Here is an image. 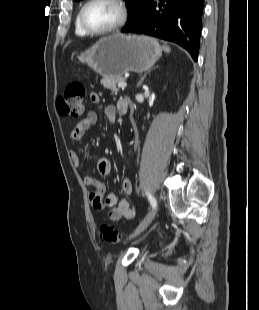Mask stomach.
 <instances>
[{
  "label": "stomach",
  "mask_w": 259,
  "mask_h": 310,
  "mask_svg": "<svg viewBox=\"0 0 259 310\" xmlns=\"http://www.w3.org/2000/svg\"><path fill=\"white\" fill-rule=\"evenodd\" d=\"M161 56L158 42L150 37L113 34L81 52L79 60L103 77L149 70Z\"/></svg>",
  "instance_id": "obj_1"
}]
</instances>
